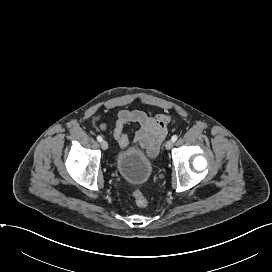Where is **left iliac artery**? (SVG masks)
Masks as SVG:
<instances>
[{
  "label": "left iliac artery",
  "instance_id": "obj_1",
  "mask_svg": "<svg viewBox=\"0 0 272 272\" xmlns=\"http://www.w3.org/2000/svg\"><path fill=\"white\" fill-rule=\"evenodd\" d=\"M177 139H178V136H177V135H173L172 138H171V140H172L173 142H175Z\"/></svg>",
  "mask_w": 272,
  "mask_h": 272
}]
</instances>
